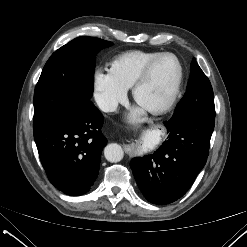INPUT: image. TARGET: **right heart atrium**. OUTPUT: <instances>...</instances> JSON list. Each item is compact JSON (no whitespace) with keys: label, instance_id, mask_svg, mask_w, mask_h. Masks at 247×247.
I'll return each mask as SVG.
<instances>
[{"label":"right heart atrium","instance_id":"1","mask_svg":"<svg viewBox=\"0 0 247 247\" xmlns=\"http://www.w3.org/2000/svg\"><path fill=\"white\" fill-rule=\"evenodd\" d=\"M93 95L103 112L112 113L125 102L127 89L115 80L110 71L97 69L93 76Z\"/></svg>","mask_w":247,"mask_h":247}]
</instances>
